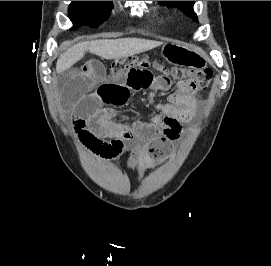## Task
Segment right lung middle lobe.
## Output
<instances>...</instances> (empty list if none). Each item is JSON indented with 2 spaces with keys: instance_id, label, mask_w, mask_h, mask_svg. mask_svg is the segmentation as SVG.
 I'll return each mask as SVG.
<instances>
[{
  "instance_id": "right-lung-middle-lobe-1",
  "label": "right lung middle lobe",
  "mask_w": 271,
  "mask_h": 266,
  "mask_svg": "<svg viewBox=\"0 0 271 266\" xmlns=\"http://www.w3.org/2000/svg\"><path fill=\"white\" fill-rule=\"evenodd\" d=\"M112 1H72L69 6V18L76 29L83 25L98 27L108 18Z\"/></svg>"
}]
</instances>
